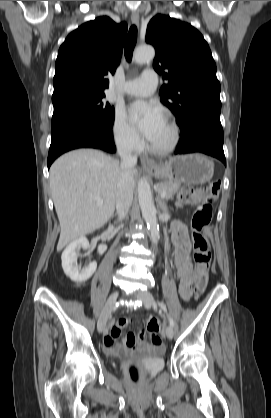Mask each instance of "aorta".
<instances>
[{
	"mask_svg": "<svg viewBox=\"0 0 271 418\" xmlns=\"http://www.w3.org/2000/svg\"><path fill=\"white\" fill-rule=\"evenodd\" d=\"M155 56V50L151 46L139 47L134 53V60L138 64L150 61ZM138 200L142 216L150 231L151 240L156 243L159 238V225L156 217V208L152 199V192L148 181L142 178L138 182Z\"/></svg>",
	"mask_w": 271,
	"mask_h": 418,
	"instance_id": "762f6f07",
	"label": "aorta"
}]
</instances>
